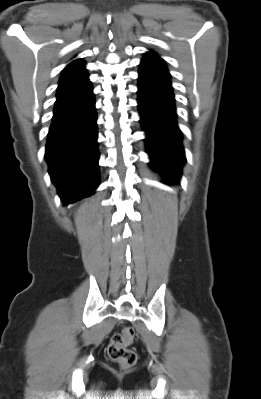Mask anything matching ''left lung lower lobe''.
I'll list each match as a JSON object with an SVG mask.
<instances>
[{
	"mask_svg": "<svg viewBox=\"0 0 261 399\" xmlns=\"http://www.w3.org/2000/svg\"><path fill=\"white\" fill-rule=\"evenodd\" d=\"M138 89L140 121L147 134L145 141L151 166L165 179L179 183L185 155L167 68L141 62Z\"/></svg>",
	"mask_w": 261,
	"mask_h": 399,
	"instance_id": "1",
	"label": "left lung lower lobe"
}]
</instances>
